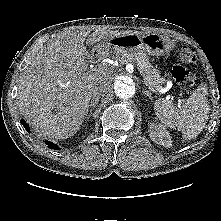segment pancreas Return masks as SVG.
<instances>
[{
  "label": "pancreas",
  "instance_id": "cf45deb5",
  "mask_svg": "<svg viewBox=\"0 0 221 221\" xmlns=\"http://www.w3.org/2000/svg\"><path fill=\"white\" fill-rule=\"evenodd\" d=\"M115 58L122 64H135L143 77L144 83L154 92L158 91L161 84L165 81V79L160 75L159 70L150 63L148 56L145 54L122 52L116 54Z\"/></svg>",
  "mask_w": 221,
  "mask_h": 221
}]
</instances>
